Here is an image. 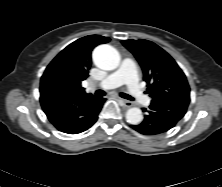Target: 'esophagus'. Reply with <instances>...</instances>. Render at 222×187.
<instances>
[{"label":"esophagus","mask_w":222,"mask_h":187,"mask_svg":"<svg viewBox=\"0 0 222 187\" xmlns=\"http://www.w3.org/2000/svg\"><path fill=\"white\" fill-rule=\"evenodd\" d=\"M120 102L122 103L123 106L130 108L133 106V103L131 101L125 100V99H120Z\"/></svg>","instance_id":"obj_1"}]
</instances>
